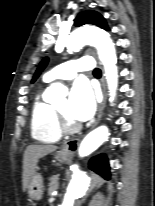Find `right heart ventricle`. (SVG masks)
Instances as JSON below:
<instances>
[{"label":"right heart ventricle","mask_w":155,"mask_h":206,"mask_svg":"<svg viewBox=\"0 0 155 206\" xmlns=\"http://www.w3.org/2000/svg\"><path fill=\"white\" fill-rule=\"evenodd\" d=\"M31 134L43 143H54L61 137L54 107L43 99L41 92L36 95L32 106Z\"/></svg>","instance_id":"obj_1"}]
</instances>
